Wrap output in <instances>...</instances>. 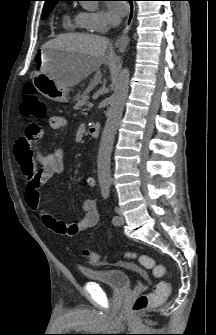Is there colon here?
Returning a JSON list of instances; mask_svg holds the SVG:
<instances>
[{"label":"colon","instance_id":"5ec220e1","mask_svg":"<svg viewBox=\"0 0 216 335\" xmlns=\"http://www.w3.org/2000/svg\"><path fill=\"white\" fill-rule=\"evenodd\" d=\"M20 109L22 115L26 118L41 120L46 116V106L44 102L35 88L29 84L25 85L23 89ZM82 255L87 263L91 265L100 264V255L97 252L84 249ZM126 257L130 260H137L141 267L150 270L156 278H163L165 276V268L162 265L156 264L149 255L128 252ZM170 291V284L167 281H161L155 286L152 292L138 296L133 303L132 310L134 312H142L150 307H154L165 300L169 296Z\"/></svg>","mask_w":216,"mask_h":335}]
</instances>
